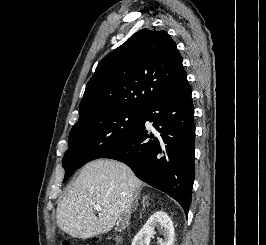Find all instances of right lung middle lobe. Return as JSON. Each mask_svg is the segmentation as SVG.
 <instances>
[{
  "label": "right lung middle lobe",
  "mask_w": 266,
  "mask_h": 245,
  "mask_svg": "<svg viewBox=\"0 0 266 245\" xmlns=\"http://www.w3.org/2000/svg\"><path fill=\"white\" fill-rule=\"evenodd\" d=\"M145 109L108 108L91 112L72 127L62 164L64 182L89 161L126 143L141 123Z\"/></svg>",
  "instance_id": "right-lung-middle-lobe-1"
}]
</instances>
